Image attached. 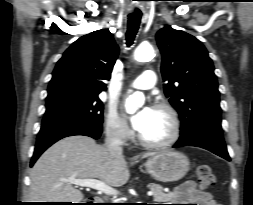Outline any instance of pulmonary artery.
I'll list each match as a JSON object with an SVG mask.
<instances>
[{"label":"pulmonary artery","mask_w":253,"mask_h":205,"mask_svg":"<svg viewBox=\"0 0 253 205\" xmlns=\"http://www.w3.org/2000/svg\"><path fill=\"white\" fill-rule=\"evenodd\" d=\"M156 84V74L152 70H145L142 74L132 83V88L145 90L150 89Z\"/></svg>","instance_id":"1"}]
</instances>
